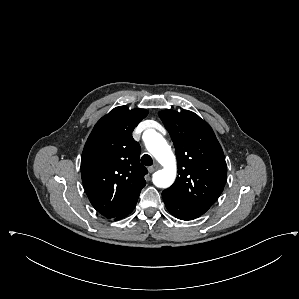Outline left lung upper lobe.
Here are the masks:
<instances>
[{"label":"left lung upper lobe","mask_w":299,"mask_h":299,"mask_svg":"<svg viewBox=\"0 0 299 299\" xmlns=\"http://www.w3.org/2000/svg\"><path fill=\"white\" fill-rule=\"evenodd\" d=\"M159 117L173 140L178 166L175 183L164 191L205 213L227 180L223 150L209 124L195 113L164 110Z\"/></svg>","instance_id":"1"}]
</instances>
